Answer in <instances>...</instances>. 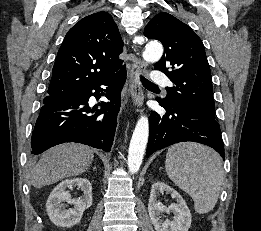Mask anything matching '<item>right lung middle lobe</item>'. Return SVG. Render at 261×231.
Segmentation results:
<instances>
[{"label": "right lung middle lobe", "mask_w": 261, "mask_h": 231, "mask_svg": "<svg viewBox=\"0 0 261 231\" xmlns=\"http://www.w3.org/2000/svg\"><path fill=\"white\" fill-rule=\"evenodd\" d=\"M72 97V96H70ZM66 98H69V97H56V96H47L45 97L44 99V104H49V103H53V102H56V101H59V100H62V99H66Z\"/></svg>", "instance_id": "dd1d6c3e"}]
</instances>
